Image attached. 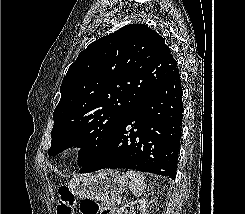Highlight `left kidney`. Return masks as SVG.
Masks as SVG:
<instances>
[{"label":"left kidney","instance_id":"1","mask_svg":"<svg viewBox=\"0 0 245 214\" xmlns=\"http://www.w3.org/2000/svg\"><path fill=\"white\" fill-rule=\"evenodd\" d=\"M146 203H147L146 199H139L136 201H132L122 206L120 209H118L117 214H128L127 208L133 210L132 213L130 214H137L138 212H139L138 214H147L146 213ZM134 207L137 208V213L134 210Z\"/></svg>","mask_w":245,"mask_h":214}]
</instances>
